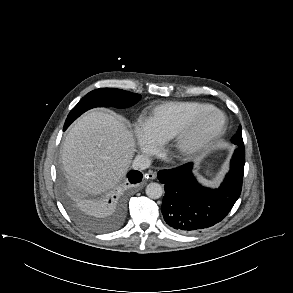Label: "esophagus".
<instances>
[{"instance_id":"34e87169","label":"esophagus","mask_w":293,"mask_h":293,"mask_svg":"<svg viewBox=\"0 0 293 293\" xmlns=\"http://www.w3.org/2000/svg\"><path fill=\"white\" fill-rule=\"evenodd\" d=\"M156 173L155 172H148V173H146L145 175H144V177L146 178V179H151V180H153V179H155L156 178Z\"/></svg>"}]
</instances>
